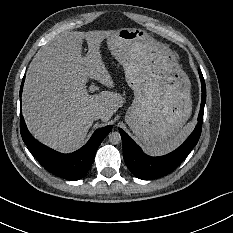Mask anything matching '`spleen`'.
Returning <instances> with one entry per match:
<instances>
[{"mask_svg":"<svg viewBox=\"0 0 233 233\" xmlns=\"http://www.w3.org/2000/svg\"><path fill=\"white\" fill-rule=\"evenodd\" d=\"M194 125H195V120L191 121L188 124V126H186L183 129V131L180 132V134L177 137H175L172 141L158 147H147L145 150L146 153L149 156H153V157H159L171 153L172 151L176 150L180 145L184 143V141L188 138V136L192 132Z\"/></svg>","mask_w":233,"mask_h":233,"instance_id":"spleen-1","label":"spleen"}]
</instances>
